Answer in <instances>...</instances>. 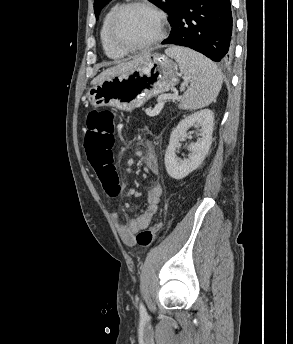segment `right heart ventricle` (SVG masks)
Here are the masks:
<instances>
[{
	"mask_svg": "<svg viewBox=\"0 0 293 344\" xmlns=\"http://www.w3.org/2000/svg\"><path fill=\"white\" fill-rule=\"evenodd\" d=\"M117 6L110 8L105 14L100 28V41L105 55L112 60H121L126 53L115 48L109 38V23L111 16Z\"/></svg>",
	"mask_w": 293,
	"mask_h": 344,
	"instance_id": "1",
	"label": "right heart ventricle"
}]
</instances>
